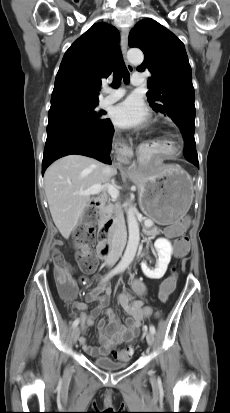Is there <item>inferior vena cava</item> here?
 Here are the masks:
<instances>
[{
	"instance_id": "inferior-vena-cava-1",
	"label": "inferior vena cava",
	"mask_w": 230,
	"mask_h": 413,
	"mask_svg": "<svg viewBox=\"0 0 230 413\" xmlns=\"http://www.w3.org/2000/svg\"><path fill=\"white\" fill-rule=\"evenodd\" d=\"M116 170L111 167V166H105L103 168V174L107 176H113L115 174ZM114 235H113V242L111 249L107 255L106 258V263L108 266L114 265L119 257L122 254L123 248L126 244V237H127V231H126V225L124 221V217L121 214H117L114 221Z\"/></svg>"
}]
</instances>
